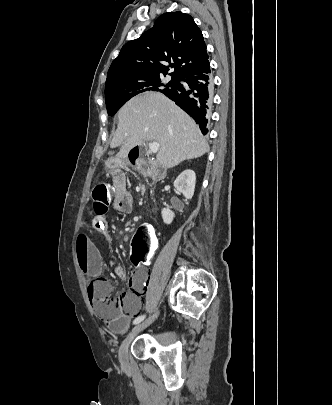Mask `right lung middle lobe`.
Returning <instances> with one entry per match:
<instances>
[{
  "mask_svg": "<svg viewBox=\"0 0 332 405\" xmlns=\"http://www.w3.org/2000/svg\"><path fill=\"white\" fill-rule=\"evenodd\" d=\"M163 75L128 77L105 88L106 107L109 116H113L131 97L144 91H171L178 84L179 77L172 76L169 83H162Z\"/></svg>",
  "mask_w": 332,
  "mask_h": 405,
  "instance_id": "right-lung-middle-lobe-1",
  "label": "right lung middle lobe"
}]
</instances>
